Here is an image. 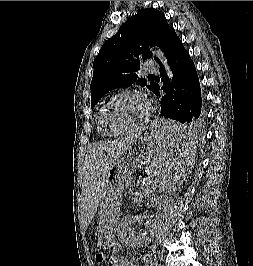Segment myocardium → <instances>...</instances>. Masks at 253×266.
<instances>
[{
	"label": "myocardium",
	"instance_id": "1",
	"mask_svg": "<svg viewBox=\"0 0 253 266\" xmlns=\"http://www.w3.org/2000/svg\"><path fill=\"white\" fill-rule=\"evenodd\" d=\"M124 95H138V96L142 97L147 102L148 111H147L146 115L144 116V118L140 122L136 123L135 125H133L130 128H127L124 130H118V131L108 130L103 123V115H104L105 109L113 101H115L117 98L124 96ZM152 112H153L152 103L148 99V97L146 96V94L144 92L137 90V89H124V90L116 93L106 103L103 104V106L101 107V109L98 113V118H97L98 126L100 128V131L106 136H118V135L128 134V133H131V132L143 127L148 122L149 118L151 117Z\"/></svg>",
	"mask_w": 253,
	"mask_h": 266
}]
</instances>
